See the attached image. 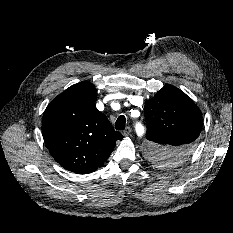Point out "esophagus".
<instances>
[{
    "label": "esophagus",
    "instance_id": "34e87169",
    "mask_svg": "<svg viewBox=\"0 0 233 233\" xmlns=\"http://www.w3.org/2000/svg\"><path fill=\"white\" fill-rule=\"evenodd\" d=\"M130 133H131V128L130 127H126V129L123 131L124 136H128Z\"/></svg>",
    "mask_w": 233,
    "mask_h": 233
}]
</instances>
